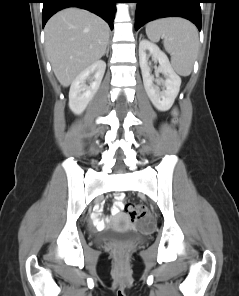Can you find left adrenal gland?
<instances>
[{
    "instance_id": "obj_1",
    "label": "left adrenal gland",
    "mask_w": 239,
    "mask_h": 296,
    "mask_svg": "<svg viewBox=\"0 0 239 296\" xmlns=\"http://www.w3.org/2000/svg\"><path fill=\"white\" fill-rule=\"evenodd\" d=\"M141 37H142V34L140 35V38H139V40L141 39Z\"/></svg>"
}]
</instances>
